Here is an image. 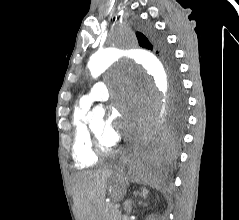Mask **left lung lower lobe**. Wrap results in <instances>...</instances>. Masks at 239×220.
Segmentation results:
<instances>
[{
	"instance_id": "left-lung-lower-lobe-1",
	"label": "left lung lower lobe",
	"mask_w": 239,
	"mask_h": 220,
	"mask_svg": "<svg viewBox=\"0 0 239 220\" xmlns=\"http://www.w3.org/2000/svg\"><path fill=\"white\" fill-rule=\"evenodd\" d=\"M178 129L172 124L171 131L163 141L151 152L144 154L138 162V169L143 173H154L161 169L164 161L170 160L176 152V135Z\"/></svg>"
}]
</instances>
